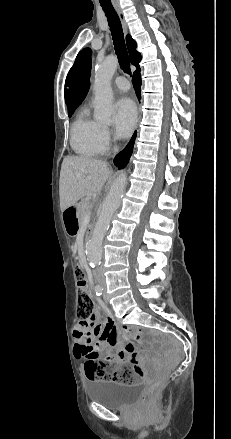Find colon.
I'll list each match as a JSON object with an SVG mask.
<instances>
[{
    "label": "colon",
    "instance_id": "5ec220e1",
    "mask_svg": "<svg viewBox=\"0 0 231 439\" xmlns=\"http://www.w3.org/2000/svg\"><path fill=\"white\" fill-rule=\"evenodd\" d=\"M76 287L78 290L77 316L82 322H88L93 316L94 302L86 289V278L80 267L75 270ZM132 331L129 327H124L123 332ZM86 375L90 380L111 379L117 383H130L134 380L135 375L141 373L138 366L121 365L113 372L109 371V364L104 361H98L94 354L88 355L85 360ZM164 380L163 376L149 378L146 381V388L140 397V404H149L157 394Z\"/></svg>",
    "mask_w": 231,
    "mask_h": 439
}]
</instances>
